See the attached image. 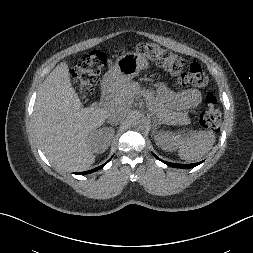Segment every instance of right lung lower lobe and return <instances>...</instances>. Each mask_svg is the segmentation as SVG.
Returning <instances> with one entry per match:
<instances>
[{"label": "right lung lower lobe", "mask_w": 253, "mask_h": 253, "mask_svg": "<svg viewBox=\"0 0 253 253\" xmlns=\"http://www.w3.org/2000/svg\"><path fill=\"white\" fill-rule=\"evenodd\" d=\"M106 164H107V162H106L105 164H103V165H101V166H99V167L95 168V169H92V170H89V171H85V172H80V173H77V174L82 175V174H88V173L95 172V171H97V170H99V169L103 168Z\"/></svg>", "instance_id": "right-lung-lower-lobe-1"}]
</instances>
